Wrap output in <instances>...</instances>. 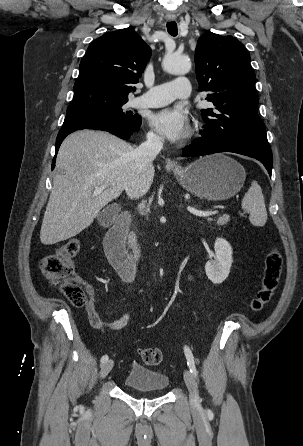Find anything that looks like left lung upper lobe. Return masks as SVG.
Segmentation results:
<instances>
[{"mask_svg":"<svg viewBox=\"0 0 303 446\" xmlns=\"http://www.w3.org/2000/svg\"><path fill=\"white\" fill-rule=\"evenodd\" d=\"M194 58L199 89L210 91L206 99L214 104L201 110L207 123L202 138L269 145L257 113L256 77L242 43L209 32L198 39Z\"/></svg>","mask_w":303,"mask_h":446,"instance_id":"left-lung-upper-lobe-1","label":"left lung upper lobe"}]
</instances>
